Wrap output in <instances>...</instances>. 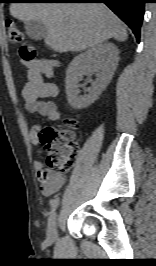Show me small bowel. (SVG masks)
Instances as JSON below:
<instances>
[{"label": "small bowel", "instance_id": "small-bowel-1", "mask_svg": "<svg viewBox=\"0 0 156 266\" xmlns=\"http://www.w3.org/2000/svg\"><path fill=\"white\" fill-rule=\"evenodd\" d=\"M26 66L28 67V81L23 89L26 110L46 120H58L60 112L57 105L53 101L43 100V98L55 97L58 93L55 85L44 80V76L51 74V65L45 61H33L26 62ZM43 126L44 122L39 121L34 123L30 130L29 139L35 146L40 142V132ZM35 154L40 156L41 151L37 150ZM34 166L43 195L52 196L60 190L65 183L62 175L45 170L40 160H36Z\"/></svg>", "mask_w": 156, "mask_h": 266}]
</instances>
